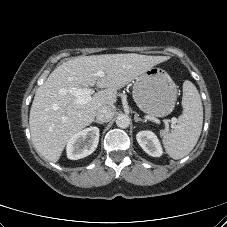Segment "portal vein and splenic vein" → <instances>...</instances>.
Returning a JSON list of instances; mask_svg holds the SVG:
<instances>
[{
	"label": "portal vein and splenic vein",
	"instance_id": "portal-vein-and-splenic-vein-1",
	"mask_svg": "<svg viewBox=\"0 0 227 227\" xmlns=\"http://www.w3.org/2000/svg\"><path fill=\"white\" fill-rule=\"evenodd\" d=\"M97 75L100 77L104 76V72L103 71H98ZM70 93L75 96L76 98V102L79 104H84L87 103L88 101L91 100V95L95 92L94 89H90V88H70ZM171 123L172 124H176L177 123V119L175 117H173L171 119Z\"/></svg>",
	"mask_w": 227,
	"mask_h": 227
}]
</instances>
